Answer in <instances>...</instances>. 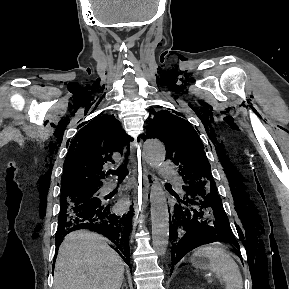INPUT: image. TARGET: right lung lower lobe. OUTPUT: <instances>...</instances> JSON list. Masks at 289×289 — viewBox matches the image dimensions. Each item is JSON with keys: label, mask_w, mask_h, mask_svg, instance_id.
I'll list each match as a JSON object with an SVG mask.
<instances>
[{"label": "right lung lower lobe", "mask_w": 289, "mask_h": 289, "mask_svg": "<svg viewBox=\"0 0 289 289\" xmlns=\"http://www.w3.org/2000/svg\"><path fill=\"white\" fill-rule=\"evenodd\" d=\"M130 219L116 215L111 208V204L101 202L90 209L70 216L69 219L63 222H59L56 232V248L58 249L66 234L79 229L92 230L103 234L111 240L115 244L114 249L130 266Z\"/></svg>", "instance_id": "right-lung-lower-lobe-1"}]
</instances>
